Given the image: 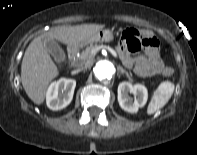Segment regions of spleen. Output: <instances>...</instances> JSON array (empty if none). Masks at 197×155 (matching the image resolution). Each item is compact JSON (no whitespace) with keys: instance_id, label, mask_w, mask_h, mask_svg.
I'll return each instance as SVG.
<instances>
[{"instance_id":"obj_1","label":"spleen","mask_w":197,"mask_h":155,"mask_svg":"<svg viewBox=\"0 0 197 155\" xmlns=\"http://www.w3.org/2000/svg\"><path fill=\"white\" fill-rule=\"evenodd\" d=\"M174 89L175 86L170 81H164L160 83L158 88L154 91L152 99L147 108V113L151 115L164 107L171 98Z\"/></svg>"}]
</instances>
